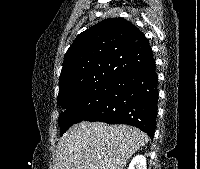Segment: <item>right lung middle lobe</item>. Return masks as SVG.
I'll use <instances>...</instances> for the list:
<instances>
[{
  "mask_svg": "<svg viewBox=\"0 0 200 169\" xmlns=\"http://www.w3.org/2000/svg\"><path fill=\"white\" fill-rule=\"evenodd\" d=\"M116 81L117 79L100 80L70 97L58 100L57 105L63 109L59 115L60 134L92 114L104 102Z\"/></svg>",
  "mask_w": 200,
  "mask_h": 169,
  "instance_id": "dd1d6c3e",
  "label": "right lung middle lobe"
}]
</instances>
